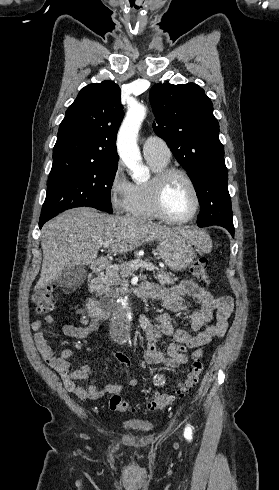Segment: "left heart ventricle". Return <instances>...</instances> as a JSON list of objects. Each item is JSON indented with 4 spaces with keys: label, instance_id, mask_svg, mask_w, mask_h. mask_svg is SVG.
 <instances>
[{
    "label": "left heart ventricle",
    "instance_id": "1",
    "mask_svg": "<svg viewBox=\"0 0 279 490\" xmlns=\"http://www.w3.org/2000/svg\"><path fill=\"white\" fill-rule=\"evenodd\" d=\"M194 204L195 197L190 184L182 177H174L165 196L168 213L173 218L184 219L191 214Z\"/></svg>",
    "mask_w": 279,
    "mask_h": 490
}]
</instances>
